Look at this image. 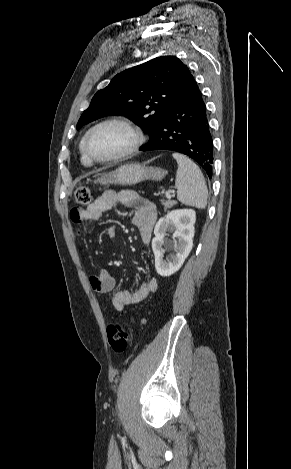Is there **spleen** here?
Returning a JSON list of instances; mask_svg holds the SVG:
<instances>
[{
  "label": "spleen",
  "instance_id": "3e777b00",
  "mask_svg": "<svg viewBox=\"0 0 291 469\" xmlns=\"http://www.w3.org/2000/svg\"><path fill=\"white\" fill-rule=\"evenodd\" d=\"M172 156L178 164L175 180L178 200L185 205L204 209L207 205L208 190L201 170L182 154L173 153Z\"/></svg>",
  "mask_w": 291,
  "mask_h": 469
}]
</instances>
